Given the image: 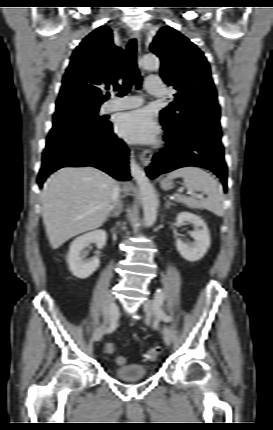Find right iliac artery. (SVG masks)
<instances>
[{
	"label": "right iliac artery",
	"instance_id": "right-iliac-artery-1",
	"mask_svg": "<svg viewBox=\"0 0 273 430\" xmlns=\"http://www.w3.org/2000/svg\"><path fill=\"white\" fill-rule=\"evenodd\" d=\"M117 319H118V313L114 315L112 323L110 324V326L106 329V333H111L113 332L116 327H117Z\"/></svg>",
	"mask_w": 273,
	"mask_h": 430
}]
</instances>
